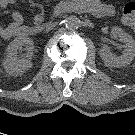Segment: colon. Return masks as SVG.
Returning <instances> with one entry per match:
<instances>
[{
	"label": "colon",
	"instance_id": "5ec220e1",
	"mask_svg": "<svg viewBox=\"0 0 135 135\" xmlns=\"http://www.w3.org/2000/svg\"><path fill=\"white\" fill-rule=\"evenodd\" d=\"M122 19L125 25H127L135 33V2L127 3L122 11Z\"/></svg>",
	"mask_w": 135,
	"mask_h": 135
}]
</instances>
